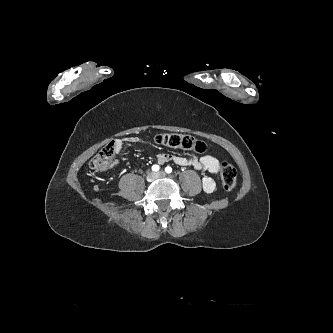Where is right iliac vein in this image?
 <instances>
[{
  "label": "right iliac vein",
  "instance_id": "1",
  "mask_svg": "<svg viewBox=\"0 0 333 333\" xmlns=\"http://www.w3.org/2000/svg\"><path fill=\"white\" fill-rule=\"evenodd\" d=\"M156 178V174L154 172H150L147 174L146 180L148 182H152Z\"/></svg>",
  "mask_w": 333,
  "mask_h": 333
}]
</instances>
